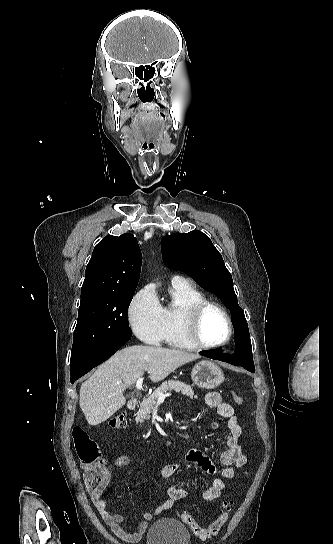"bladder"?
<instances>
[{"instance_id": "obj_1", "label": "bladder", "mask_w": 333, "mask_h": 544, "mask_svg": "<svg viewBox=\"0 0 333 544\" xmlns=\"http://www.w3.org/2000/svg\"><path fill=\"white\" fill-rule=\"evenodd\" d=\"M146 544H190L188 529L172 518H161L149 528Z\"/></svg>"}]
</instances>
